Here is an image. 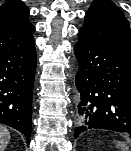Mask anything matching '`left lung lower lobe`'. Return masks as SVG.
I'll use <instances>...</instances> for the list:
<instances>
[{
  "mask_svg": "<svg viewBox=\"0 0 131 151\" xmlns=\"http://www.w3.org/2000/svg\"><path fill=\"white\" fill-rule=\"evenodd\" d=\"M74 54L80 93L74 137L110 130L131 137V56L99 44L79 32Z\"/></svg>",
  "mask_w": 131,
  "mask_h": 151,
  "instance_id": "1",
  "label": "left lung lower lobe"
}]
</instances>
